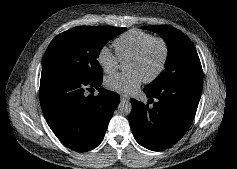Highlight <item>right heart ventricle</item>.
I'll return each mask as SVG.
<instances>
[{
    "label": "right heart ventricle",
    "mask_w": 237,
    "mask_h": 169,
    "mask_svg": "<svg viewBox=\"0 0 237 169\" xmlns=\"http://www.w3.org/2000/svg\"><path fill=\"white\" fill-rule=\"evenodd\" d=\"M154 36L140 30H130L114 40L117 55L120 60H127Z\"/></svg>",
    "instance_id": "obj_1"
}]
</instances>
